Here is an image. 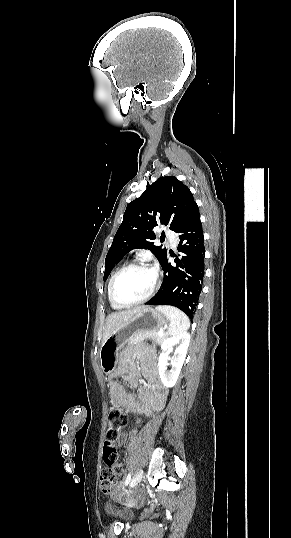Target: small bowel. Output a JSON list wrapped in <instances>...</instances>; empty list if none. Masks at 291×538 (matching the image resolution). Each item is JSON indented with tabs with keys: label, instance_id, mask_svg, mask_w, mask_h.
Masks as SVG:
<instances>
[{
	"label": "small bowel",
	"instance_id": "c3829d8e",
	"mask_svg": "<svg viewBox=\"0 0 291 538\" xmlns=\"http://www.w3.org/2000/svg\"><path fill=\"white\" fill-rule=\"evenodd\" d=\"M143 374L147 379V384L138 395L131 394L117 381L120 375L123 376L133 388L138 385V372L132 358L124 353L121 356V362L118 369L109 371V398L112 403L118 404L125 412H133L141 415H150L152 410L159 404L164 397L156 362L153 360L145 361L141 365ZM140 399V401L137 400ZM120 446L127 445V437L121 433L116 439ZM116 469L121 471V466L116 465Z\"/></svg>",
	"mask_w": 291,
	"mask_h": 538
}]
</instances>
